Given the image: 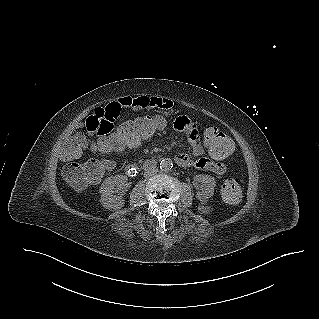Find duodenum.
I'll use <instances>...</instances> for the list:
<instances>
[{"mask_svg": "<svg viewBox=\"0 0 319 319\" xmlns=\"http://www.w3.org/2000/svg\"><path fill=\"white\" fill-rule=\"evenodd\" d=\"M156 165H157V162L154 159H149L141 165L130 163L126 165L125 172L128 176L135 177L140 171L152 170L156 167Z\"/></svg>", "mask_w": 319, "mask_h": 319, "instance_id": "duodenum-1", "label": "duodenum"}]
</instances>
